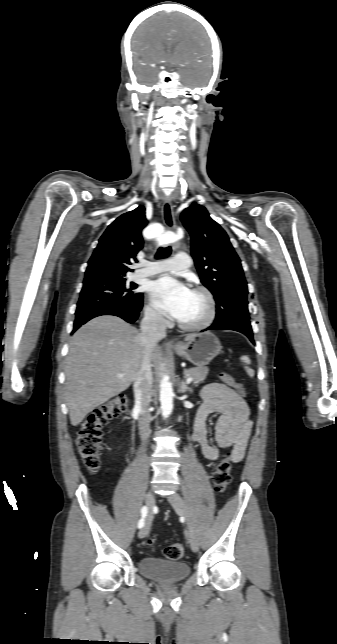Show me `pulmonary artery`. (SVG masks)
<instances>
[{
    "label": "pulmonary artery",
    "mask_w": 337,
    "mask_h": 644,
    "mask_svg": "<svg viewBox=\"0 0 337 644\" xmlns=\"http://www.w3.org/2000/svg\"><path fill=\"white\" fill-rule=\"evenodd\" d=\"M191 266V258L186 253H178L173 258L158 262H151L145 268L135 272L136 278L156 275L162 272H180Z\"/></svg>",
    "instance_id": "1"
}]
</instances>
